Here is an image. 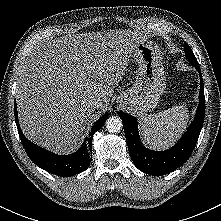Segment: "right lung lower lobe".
I'll return each mask as SVG.
<instances>
[{
    "instance_id": "right-lung-lower-lobe-1",
    "label": "right lung lower lobe",
    "mask_w": 221,
    "mask_h": 221,
    "mask_svg": "<svg viewBox=\"0 0 221 221\" xmlns=\"http://www.w3.org/2000/svg\"><path fill=\"white\" fill-rule=\"evenodd\" d=\"M109 113L100 117L93 125L89 136L85 138L81 148L70 155H57L44 148L37 146L29 141L21 131L18 121L17 108L15 103V121L17 124L18 133L23 144V147L30 159L40 168L63 177L73 176L90 166L92 157V139L96 131L101 129L107 120Z\"/></svg>"
}]
</instances>
